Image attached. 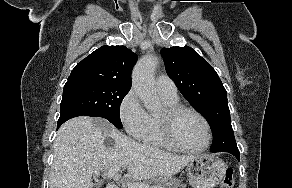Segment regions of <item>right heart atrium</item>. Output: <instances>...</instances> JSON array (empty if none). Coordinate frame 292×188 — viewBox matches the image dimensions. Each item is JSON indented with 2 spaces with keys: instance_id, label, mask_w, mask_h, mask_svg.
Returning <instances> with one entry per match:
<instances>
[{
  "instance_id": "obj_1",
  "label": "right heart atrium",
  "mask_w": 292,
  "mask_h": 188,
  "mask_svg": "<svg viewBox=\"0 0 292 188\" xmlns=\"http://www.w3.org/2000/svg\"><path fill=\"white\" fill-rule=\"evenodd\" d=\"M118 113L127 133L134 139H141L148 127L149 114L133 89L122 98Z\"/></svg>"
}]
</instances>
